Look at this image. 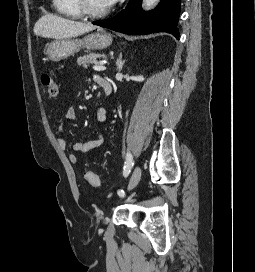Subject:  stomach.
I'll use <instances>...</instances> for the list:
<instances>
[{"label":"stomach","mask_w":255,"mask_h":272,"mask_svg":"<svg viewBox=\"0 0 255 272\" xmlns=\"http://www.w3.org/2000/svg\"><path fill=\"white\" fill-rule=\"evenodd\" d=\"M111 43V34L99 29L82 39L65 38L55 40L46 48V55L52 61H60L74 55L81 48L101 50L109 47Z\"/></svg>","instance_id":"1"}]
</instances>
